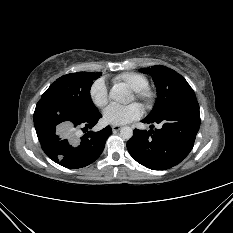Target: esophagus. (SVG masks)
<instances>
[{"mask_svg": "<svg viewBox=\"0 0 233 233\" xmlns=\"http://www.w3.org/2000/svg\"><path fill=\"white\" fill-rule=\"evenodd\" d=\"M120 129H121V126H119V125H113V126H112V130H113L114 132L119 131Z\"/></svg>", "mask_w": 233, "mask_h": 233, "instance_id": "1", "label": "esophagus"}]
</instances>
